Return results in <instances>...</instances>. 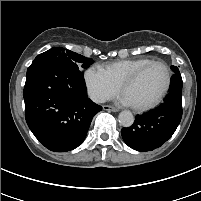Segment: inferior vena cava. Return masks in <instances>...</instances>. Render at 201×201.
I'll list each match as a JSON object with an SVG mask.
<instances>
[{
  "mask_svg": "<svg viewBox=\"0 0 201 201\" xmlns=\"http://www.w3.org/2000/svg\"><path fill=\"white\" fill-rule=\"evenodd\" d=\"M92 100L96 103H104L107 100V97L104 95H94Z\"/></svg>",
  "mask_w": 201,
  "mask_h": 201,
  "instance_id": "obj_1",
  "label": "inferior vena cava"
}]
</instances>
